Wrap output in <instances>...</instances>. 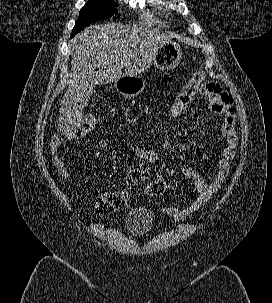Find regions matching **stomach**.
<instances>
[{"label":"stomach","instance_id":"0dacf381","mask_svg":"<svg viewBox=\"0 0 272 303\" xmlns=\"http://www.w3.org/2000/svg\"><path fill=\"white\" fill-rule=\"evenodd\" d=\"M182 50L178 43L169 41L157 51L154 65L160 70H171L181 61ZM116 89L127 98H134L142 92L143 82L139 77H126L116 81Z\"/></svg>","mask_w":272,"mask_h":303}]
</instances>
